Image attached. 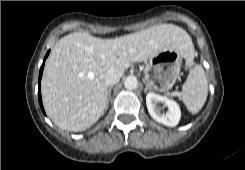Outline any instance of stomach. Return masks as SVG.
<instances>
[{"label": "stomach", "instance_id": "1", "mask_svg": "<svg viewBox=\"0 0 245 170\" xmlns=\"http://www.w3.org/2000/svg\"><path fill=\"white\" fill-rule=\"evenodd\" d=\"M183 53L169 49L159 53L145 62L144 75L150 89L165 92L170 90L180 79Z\"/></svg>", "mask_w": 245, "mask_h": 170}]
</instances>
